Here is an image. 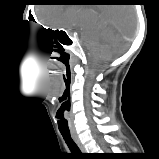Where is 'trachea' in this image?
Wrapping results in <instances>:
<instances>
[{
    "label": "trachea",
    "mask_w": 159,
    "mask_h": 159,
    "mask_svg": "<svg viewBox=\"0 0 159 159\" xmlns=\"http://www.w3.org/2000/svg\"><path fill=\"white\" fill-rule=\"evenodd\" d=\"M61 135L65 141V143L67 144L68 148L70 149V151L73 153V154H81V151L80 149L78 148L77 144L74 142V140L72 139L71 137V134L70 133H62L61 132Z\"/></svg>",
    "instance_id": "3493384b"
}]
</instances>
